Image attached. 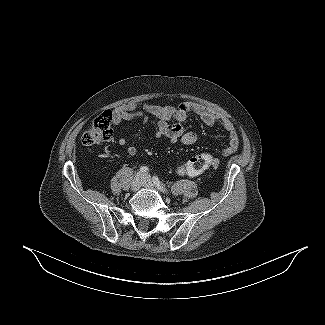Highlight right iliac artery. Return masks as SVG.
<instances>
[{"instance_id":"82829eb1","label":"right iliac artery","mask_w":325,"mask_h":325,"mask_svg":"<svg viewBox=\"0 0 325 325\" xmlns=\"http://www.w3.org/2000/svg\"><path fill=\"white\" fill-rule=\"evenodd\" d=\"M140 171H141L142 173H147V172L149 171V169H148V167H146V166H142V167L140 168Z\"/></svg>"}]
</instances>
